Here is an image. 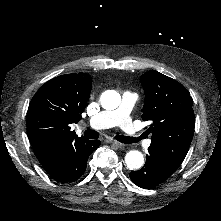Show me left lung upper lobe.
<instances>
[{
    "label": "left lung upper lobe",
    "instance_id": "1",
    "mask_svg": "<svg viewBox=\"0 0 221 221\" xmlns=\"http://www.w3.org/2000/svg\"><path fill=\"white\" fill-rule=\"evenodd\" d=\"M140 79L145 90L142 119L152 122L147 130L152 133L150 148L179 167L194 134L193 100L184 86L157 71H148Z\"/></svg>",
    "mask_w": 221,
    "mask_h": 221
}]
</instances>
